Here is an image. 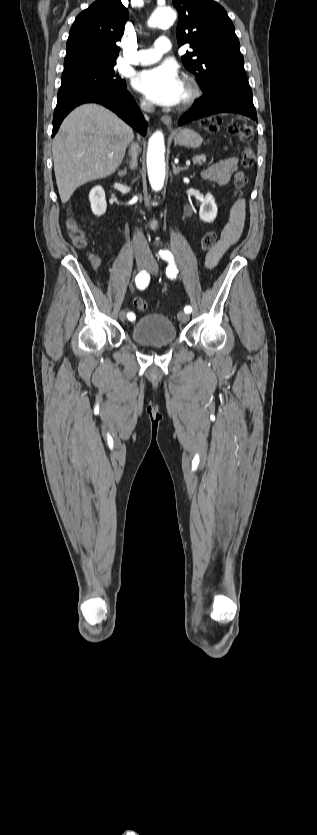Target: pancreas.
Segmentation results:
<instances>
[{"label": "pancreas", "mask_w": 317, "mask_h": 835, "mask_svg": "<svg viewBox=\"0 0 317 835\" xmlns=\"http://www.w3.org/2000/svg\"><path fill=\"white\" fill-rule=\"evenodd\" d=\"M194 164L202 165L206 161V155L198 154L193 157Z\"/></svg>", "instance_id": "1"}]
</instances>
